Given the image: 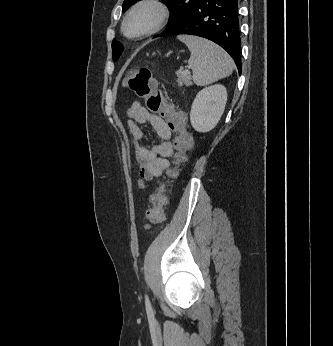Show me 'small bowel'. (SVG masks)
<instances>
[{
    "instance_id": "small-bowel-1",
    "label": "small bowel",
    "mask_w": 333,
    "mask_h": 346,
    "mask_svg": "<svg viewBox=\"0 0 333 346\" xmlns=\"http://www.w3.org/2000/svg\"><path fill=\"white\" fill-rule=\"evenodd\" d=\"M128 128L135 142L147 140L143 126L150 127L161 142L149 146L144 144L135 145L136 159L140 167L139 185L145 187V183L162 176L169 167V158L174 153L172 143V129L168 122L161 116L146 109L140 102H134L127 109Z\"/></svg>"
}]
</instances>
